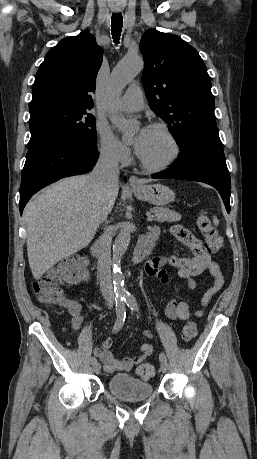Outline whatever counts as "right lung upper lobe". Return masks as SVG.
Here are the masks:
<instances>
[{"instance_id": "cb5924a9", "label": "right lung upper lobe", "mask_w": 257, "mask_h": 459, "mask_svg": "<svg viewBox=\"0 0 257 459\" xmlns=\"http://www.w3.org/2000/svg\"><path fill=\"white\" fill-rule=\"evenodd\" d=\"M103 50L88 31L61 40L40 65L30 112L50 106L93 107Z\"/></svg>"}]
</instances>
